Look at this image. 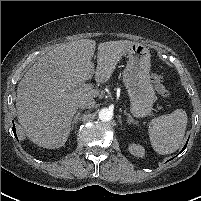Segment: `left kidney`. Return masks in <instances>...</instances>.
<instances>
[{"mask_svg": "<svg viewBox=\"0 0 201 201\" xmlns=\"http://www.w3.org/2000/svg\"><path fill=\"white\" fill-rule=\"evenodd\" d=\"M128 149L129 152L136 157H143L145 154V149L141 145L131 144Z\"/></svg>", "mask_w": 201, "mask_h": 201, "instance_id": "5707ae66", "label": "left kidney"}]
</instances>
